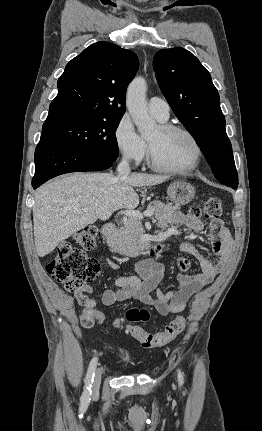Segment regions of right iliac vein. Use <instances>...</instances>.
I'll list each match as a JSON object with an SVG mask.
<instances>
[{
    "label": "right iliac vein",
    "mask_w": 262,
    "mask_h": 431,
    "mask_svg": "<svg viewBox=\"0 0 262 431\" xmlns=\"http://www.w3.org/2000/svg\"><path fill=\"white\" fill-rule=\"evenodd\" d=\"M101 383V371L100 369H97L95 371V375H94V382H93V389H97L100 386Z\"/></svg>",
    "instance_id": "63e3f726"
}]
</instances>
